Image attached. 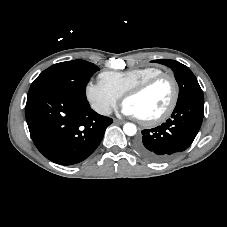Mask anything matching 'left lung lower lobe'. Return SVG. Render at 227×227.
I'll list each match as a JSON object with an SVG mask.
<instances>
[{"instance_id":"0a47b994","label":"left lung lower lobe","mask_w":227,"mask_h":227,"mask_svg":"<svg viewBox=\"0 0 227 227\" xmlns=\"http://www.w3.org/2000/svg\"><path fill=\"white\" fill-rule=\"evenodd\" d=\"M204 99L192 97L177 103L171 118L162 125L142 130L135 142L144 158L161 162L186 150L195 139L204 115Z\"/></svg>"}]
</instances>
